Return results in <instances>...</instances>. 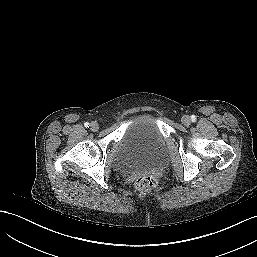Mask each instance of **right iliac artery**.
I'll use <instances>...</instances> for the list:
<instances>
[{
    "label": "right iliac artery",
    "mask_w": 257,
    "mask_h": 257,
    "mask_svg": "<svg viewBox=\"0 0 257 257\" xmlns=\"http://www.w3.org/2000/svg\"><path fill=\"white\" fill-rule=\"evenodd\" d=\"M89 123L88 122H86L85 124H84V126L86 127V128H89Z\"/></svg>",
    "instance_id": "right-iliac-artery-1"
}]
</instances>
